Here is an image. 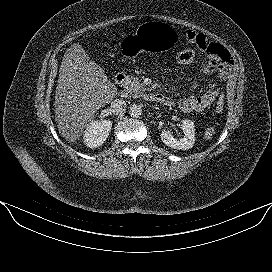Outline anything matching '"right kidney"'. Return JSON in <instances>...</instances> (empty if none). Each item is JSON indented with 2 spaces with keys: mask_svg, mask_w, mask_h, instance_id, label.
I'll list each match as a JSON object with an SVG mask.
<instances>
[{
  "mask_svg": "<svg viewBox=\"0 0 272 272\" xmlns=\"http://www.w3.org/2000/svg\"><path fill=\"white\" fill-rule=\"evenodd\" d=\"M112 128L110 120H97L89 123L84 134V143L89 148L101 146L108 138Z\"/></svg>",
  "mask_w": 272,
  "mask_h": 272,
  "instance_id": "right-kidney-1",
  "label": "right kidney"
}]
</instances>
